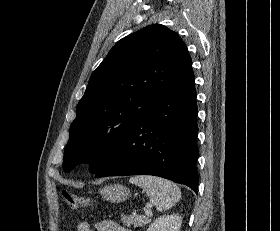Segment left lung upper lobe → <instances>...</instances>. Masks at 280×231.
Returning a JSON list of instances; mask_svg holds the SVG:
<instances>
[{"label":"left lung upper lobe","instance_id":"obj_1","mask_svg":"<svg viewBox=\"0 0 280 231\" xmlns=\"http://www.w3.org/2000/svg\"><path fill=\"white\" fill-rule=\"evenodd\" d=\"M182 39L160 24L120 41L89 79L64 151L69 172L89 162L96 173L118 140L175 85L193 74Z\"/></svg>","mask_w":280,"mask_h":231}]
</instances>
